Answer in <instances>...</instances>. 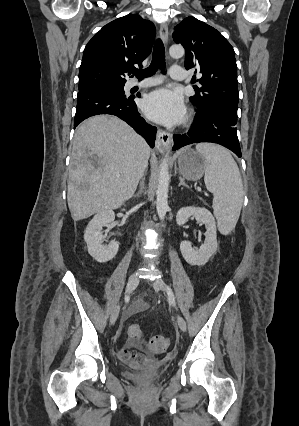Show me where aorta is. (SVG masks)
<instances>
[{
	"mask_svg": "<svg viewBox=\"0 0 299 426\" xmlns=\"http://www.w3.org/2000/svg\"><path fill=\"white\" fill-rule=\"evenodd\" d=\"M169 54L172 58L179 59L185 54L184 48L181 45H172L169 48ZM169 171H168V159H164L160 163L158 187L156 191V209L160 220H164L165 215L168 211V187H169Z\"/></svg>",
	"mask_w": 299,
	"mask_h": 426,
	"instance_id": "762f6f07",
	"label": "aorta"
}]
</instances>
